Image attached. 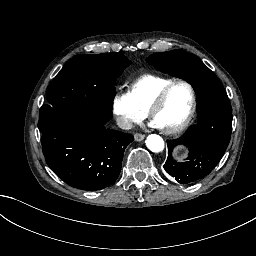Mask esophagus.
I'll return each instance as SVG.
<instances>
[{
	"mask_svg": "<svg viewBox=\"0 0 256 256\" xmlns=\"http://www.w3.org/2000/svg\"><path fill=\"white\" fill-rule=\"evenodd\" d=\"M144 138H145L144 134H141V133H135L134 134L135 141H142Z\"/></svg>",
	"mask_w": 256,
	"mask_h": 256,
	"instance_id": "34e87169",
	"label": "esophagus"
}]
</instances>
